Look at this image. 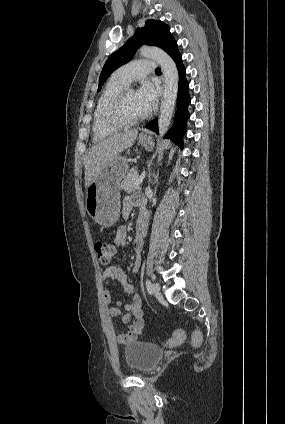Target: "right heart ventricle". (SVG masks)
<instances>
[{
    "instance_id": "right-heart-ventricle-1",
    "label": "right heart ventricle",
    "mask_w": 285,
    "mask_h": 424,
    "mask_svg": "<svg viewBox=\"0 0 285 424\" xmlns=\"http://www.w3.org/2000/svg\"><path fill=\"white\" fill-rule=\"evenodd\" d=\"M126 85L117 81L113 77L107 82L102 90L95 111L93 120V135L95 140H101L117 133L121 127L107 124L105 121V111L110 102L125 89Z\"/></svg>"
}]
</instances>
